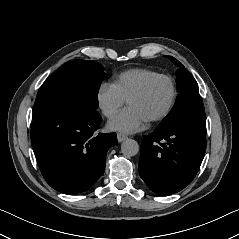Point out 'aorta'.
<instances>
[{"mask_svg":"<svg viewBox=\"0 0 239 239\" xmlns=\"http://www.w3.org/2000/svg\"><path fill=\"white\" fill-rule=\"evenodd\" d=\"M140 150L139 144L133 139H126L121 144V152L126 157H132L138 154Z\"/></svg>","mask_w":239,"mask_h":239,"instance_id":"aorta-1","label":"aorta"}]
</instances>
